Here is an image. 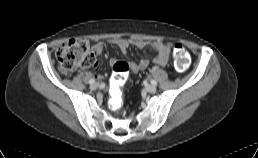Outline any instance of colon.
<instances>
[{"mask_svg": "<svg viewBox=\"0 0 258 158\" xmlns=\"http://www.w3.org/2000/svg\"><path fill=\"white\" fill-rule=\"evenodd\" d=\"M56 59L63 74H70L77 67H91L96 63V56L84 39H71L61 44L56 50ZM173 63L178 72H184L190 65V54L181 43L173 46ZM129 72L130 65L126 61H117L113 65L110 100L112 111H119L123 106L122 90Z\"/></svg>", "mask_w": 258, "mask_h": 158, "instance_id": "colon-1", "label": "colon"}]
</instances>
